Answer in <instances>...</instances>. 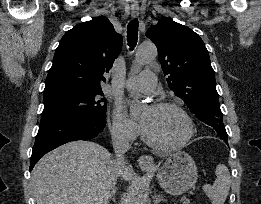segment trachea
<instances>
[{"label":"trachea","instance_id":"1","mask_svg":"<svg viewBox=\"0 0 261 204\" xmlns=\"http://www.w3.org/2000/svg\"><path fill=\"white\" fill-rule=\"evenodd\" d=\"M138 40V20L133 19L127 26V41L130 50H133Z\"/></svg>","mask_w":261,"mask_h":204}]
</instances>
